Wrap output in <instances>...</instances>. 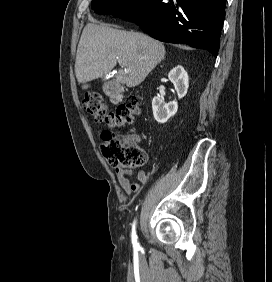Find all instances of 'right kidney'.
Instances as JSON below:
<instances>
[{
  "label": "right kidney",
  "mask_w": 272,
  "mask_h": 282,
  "mask_svg": "<svg viewBox=\"0 0 272 282\" xmlns=\"http://www.w3.org/2000/svg\"><path fill=\"white\" fill-rule=\"evenodd\" d=\"M168 78L174 84L178 98H183L187 93L189 85V77L185 69L180 65L176 66L169 72ZM152 109L155 120L163 124L176 114L178 104L175 101L165 103L164 99L154 97L152 100Z\"/></svg>",
  "instance_id": "obj_1"
}]
</instances>
